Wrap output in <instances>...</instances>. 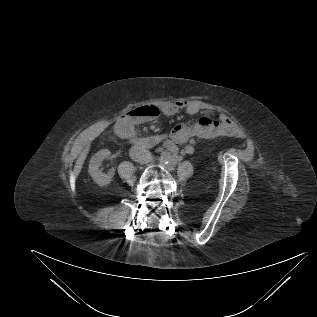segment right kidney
Wrapping results in <instances>:
<instances>
[{"instance_id":"right-kidney-1","label":"right kidney","mask_w":317,"mask_h":317,"mask_svg":"<svg viewBox=\"0 0 317 317\" xmlns=\"http://www.w3.org/2000/svg\"><path fill=\"white\" fill-rule=\"evenodd\" d=\"M110 151L108 149L99 150L95 153L89 163V174L91 175L93 181L100 186L107 185L111 182L115 174V169L111 168L107 173H103L99 166L101 162L110 156Z\"/></svg>"}]
</instances>
